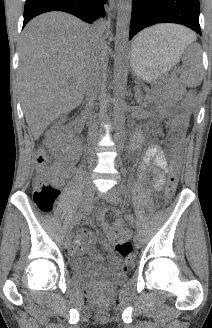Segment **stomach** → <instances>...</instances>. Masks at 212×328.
Here are the masks:
<instances>
[{
  "instance_id": "stomach-1",
  "label": "stomach",
  "mask_w": 212,
  "mask_h": 328,
  "mask_svg": "<svg viewBox=\"0 0 212 328\" xmlns=\"http://www.w3.org/2000/svg\"><path fill=\"white\" fill-rule=\"evenodd\" d=\"M184 48L178 43L165 40L150 41L142 48L133 44L132 70L142 80L155 82L179 60Z\"/></svg>"
}]
</instances>
